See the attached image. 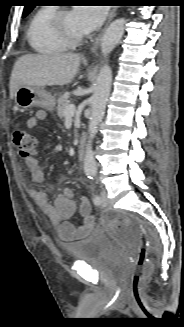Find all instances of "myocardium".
I'll list each match as a JSON object with an SVG mask.
<instances>
[{
    "instance_id": "myocardium-1",
    "label": "myocardium",
    "mask_w": 184,
    "mask_h": 327,
    "mask_svg": "<svg viewBox=\"0 0 184 327\" xmlns=\"http://www.w3.org/2000/svg\"><path fill=\"white\" fill-rule=\"evenodd\" d=\"M69 9H59L55 12V14L52 17L51 24L54 32L69 46H76L84 42L86 39L85 35L81 36H74L70 34L64 24V18L65 16L70 12Z\"/></svg>"
}]
</instances>
